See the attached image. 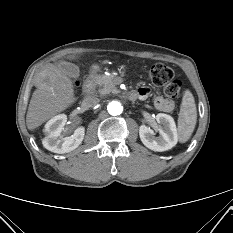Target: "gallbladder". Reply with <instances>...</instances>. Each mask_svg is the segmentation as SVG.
<instances>
[{
  "mask_svg": "<svg viewBox=\"0 0 233 233\" xmlns=\"http://www.w3.org/2000/svg\"><path fill=\"white\" fill-rule=\"evenodd\" d=\"M60 68L72 78H76L80 75V69L77 65L69 62H61Z\"/></svg>",
  "mask_w": 233,
  "mask_h": 233,
  "instance_id": "1",
  "label": "gallbladder"
}]
</instances>
